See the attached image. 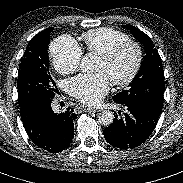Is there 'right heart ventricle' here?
<instances>
[{"label":"right heart ventricle","instance_id":"1","mask_svg":"<svg viewBox=\"0 0 183 183\" xmlns=\"http://www.w3.org/2000/svg\"><path fill=\"white\" fill-rule=\"evenodd\" d=\"M82 39L88 52L100 55L117 43L129 40V37L123 32L104 27L87 31Z\"/></svg>","mask_w":183,"mask_h":183}]
</instances>
